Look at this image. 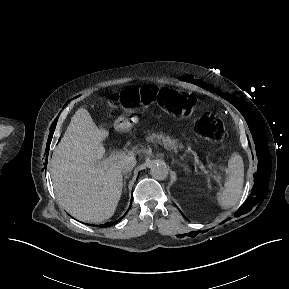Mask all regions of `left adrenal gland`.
<instances>
[{"label": "left adrenal gland", "instance_id": "left-adrenal-gland-1", "mask_svg": "<svg viewBox=\"0 0 289 289\" xmlns=\"http://www.w3.org/2000/svg\"><path fill=\"white\" fill-rule=\"evenodd\" d=\"M181 166L184 168L185 171H190L187 166H185L183 164H181Z\"/></svg>", "mask_w": 289, "mask_h": 289}]
</instances>
